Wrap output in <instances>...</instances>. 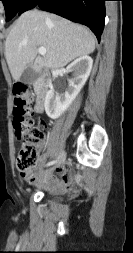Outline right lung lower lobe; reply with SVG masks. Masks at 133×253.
I'll return each mask as SVG.
<instances>
[{
	"mask_svg": "<svg viewBox=\"0 0 133 253\" xmlns=\"http://www.w3.org/2000/svg\"><path fill=\"white\" fill-rule=\"evenodd\" d=\"M106 0H25L18 14L39 6L42 10L58 14L88 26L100 41L105 22Z\"/></svg>",
	"mask_w": 133,
	"mask_h": 253,
	"instance_id": "98d812e1",
	"label": "right lung lower lobe"
}]
</instances>
